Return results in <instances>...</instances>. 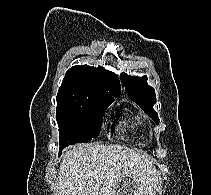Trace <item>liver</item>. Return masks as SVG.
I'll list each match as a JSON object with an SVG mask.
<instances>
[{"mask_svg":"<svg viewBox=\"0 0 211 195\" xmlns=\"http://www.w3.org/2000/svg\"><path fill=\"white\" fill-rule=\"evenodd\" d=\"M124 180H132L135 195H156L160 180L153 163L118 144H78L62 155L58 195H129Z\"/></svg>","mask_w":211,"mask_h":195,"instance_id":"1","label":"liver"}]
</instances>
